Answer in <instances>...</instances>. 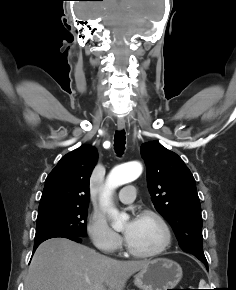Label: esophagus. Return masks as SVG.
<instances>
[{"label": "esophagus", "instance_id": "34e87169", "mask_svg": "<svg viewBox=\"0 0 236 290\" xmlns=\"http://www.w3.org/2000/svg\"><path fill=\"white\" fill-rule=\"evenodd\" d=\"M117 127L119 130H123L125 128V120L123 118H118Z\"/></svg>", "mask_w": 236, "mask_h": 290}]
</instances>
